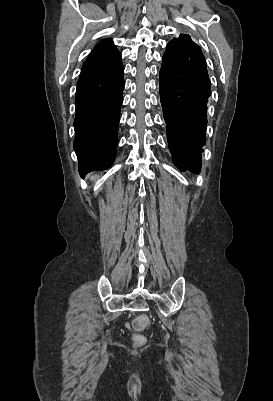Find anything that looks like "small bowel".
<instances>
[{"label":"small bowel","instance_id":"obj_1","mask_svg":"<svg viewBox=\"0 0 273 401\" xmlns=\"http://www.w3.org/2000/svg\"><path fill=\"white\" fill-rule=\"evenodd\" d=\"M124 323H125V327H126V328H129V327H130V324H129V320H128V319H125V320H124Z\"/></svg>","mask_w":273,"mask_h":401}]
</instances>
